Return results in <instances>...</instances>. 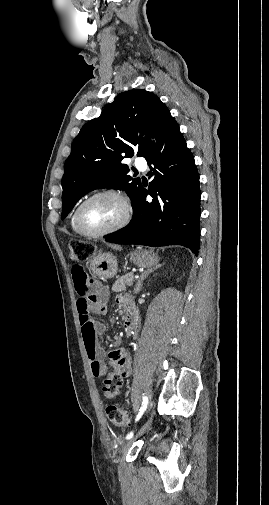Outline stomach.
<instances>
[{
	"label": "stomach",
	"instance_id": "0dacf381",
	"mask_svg": "<svg viewBox=\"0 0 269 505\" xmlns=\"http://www.w3.org/2000/svg\"><path fill=\"white\" fill-rule=\"evenodd\" d=\"M130 260L138 267L147 268L157 264L159 258L152 250L137 248L131 253ZM90 270L99 278H112L118 270L117 259L111 253L98 254L91 260Z\"/></svg>",
	"mask_w": 269,
	"mask_h": 505
}]
</instances>
